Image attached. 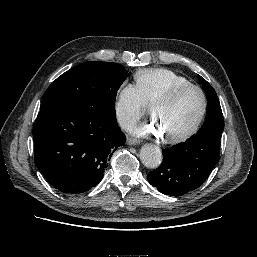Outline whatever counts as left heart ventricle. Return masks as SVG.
<instances>
[{"mask_svg":"<svg viewBox=\"0 0 257 257\" xmlns=\"http://www.w3.org/2000/svg\"><path fill=\"white\" fill-rule=\"evenodd\" d=\"M202 107L200 94L189 90L181 94L174 102L160 105L154 109V116L160 123L166 136L181 133L197 119Z\"/></svg>","mask_w":257,"mask_h":257,"instance_id":"left-heart-ventricle-1","label":"left heart ventricle"}]
</instances>
